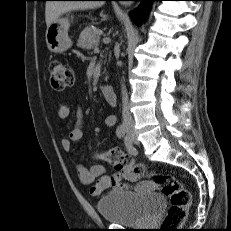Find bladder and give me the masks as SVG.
Masks as SVG:
<instances>
[{"instance_id":"bladder-1","label":"bladder","mask_w":231,"mask_h":231,"mask_svg":"<svg viewBox=\"0 0 231 231\" xmlns=\"http://www.w3.org/2000/svg\"><path fill=\"white\" fill-rule=\"evenodd\" d=\"M166 207L161 194L141 195L114 192L102 197L97 210L102 218L112 224L139 226L154 220Z\"/></svg>"}]
</instances>
